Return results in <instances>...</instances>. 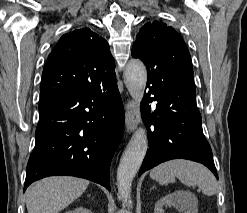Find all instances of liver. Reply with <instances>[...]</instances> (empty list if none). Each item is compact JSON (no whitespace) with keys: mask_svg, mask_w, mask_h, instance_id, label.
Here are the masks:
<instances>
[{"mask_svg":"<svg viewBox=\"0 0 247 213\" xmlns=\"http://www.w3.org/2000/svg\"><path fill=\"white\" fill-rule=\"evenodd\" d=\"M89 181L56 176L44 178L26 191L28 213H58L83 194Z\"/></svg>","mask_w":247,"mask_h":213,"instance_id":"obj_1","label":"liver"}]
</instances>
